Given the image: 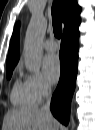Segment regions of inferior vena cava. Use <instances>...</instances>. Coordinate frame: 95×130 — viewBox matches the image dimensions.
Returning <instances> with one entry per match:
<instances>
[{"label": "inferior vena cava", "instance_id": "602c4592", "mask_svg": "<svg viewBox=\"0 0 95 130\" xmlns=\"http://www.w3.org/2000/svg\"><path fill=\"white\" fill-rule=\"evenodd\" d=\"M50 102H51V88L48 87V93H47V102L43 107H41V111L44 112L47 116H52L50 112Z\"/></svg>", "mask_w": 95, "mask_h": 130}]
</instances>
